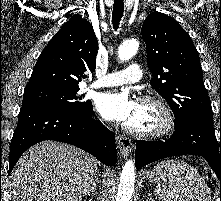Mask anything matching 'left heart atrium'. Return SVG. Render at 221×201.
Wrapping results in <instances>:
<instances>
[{
	"label": "left heart atrium",
	"mask_w": 221,
	"mask_h": 201,
	"mask_svg": "<svg viewBox=\"0 0 221 201\" xmlns=\"http://www.w3.org/2000/svg\"><path fill=\"white\" fill-rule=\"evenodd\" d=\"M97 111L107 120L128 124L137 112V103L125 91H109L99 95Z\"/></svg>",
	"instance_id": "1"
}]
</instances>
